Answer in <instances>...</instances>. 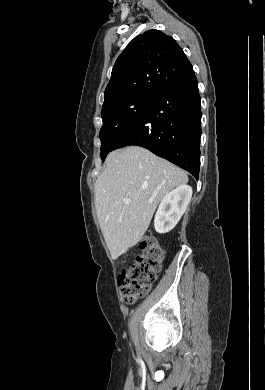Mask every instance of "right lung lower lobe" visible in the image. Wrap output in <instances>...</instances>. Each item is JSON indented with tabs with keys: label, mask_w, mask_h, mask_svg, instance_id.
<instances>
[{
	"label": "right lung lower lobe",
	"mask_w": 265,
	"mask_h": 390,
	"mask_svg": "<svg viewBox=\"0 0 265 390\" xmlns=\"http://www.w3.org/2000/svg\"><path fill=\"white\" fill-rule=\"evenodd\" d=\"M200 137V95L191 67L155 96L115 149L129 145L144 147L198 179Z\"/></svg>",
	"instance_id": "obj_1"
}]
</instances>
